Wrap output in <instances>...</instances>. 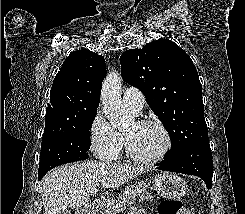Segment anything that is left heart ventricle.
I'll use <instances>...</instances> for the list:
<instances>
[{
  "mask_svg": "<svg viewBox=\"0 0 245 214\" xmlns=\"http://www.w3.org/2000/svg\"><path fill=\"white\" fill-rule=\"evenodd\" d=\"M122 133L131 149L143 157L155 156L164 146V136L156 127L140 126L132 122L126 126Z\"/></svg>",
  "mask_w": 245,
  "mask_h": 214,
  "instance_id": "b2bd125f",
  "label": "left heart ventricle"
}]
</instances>
